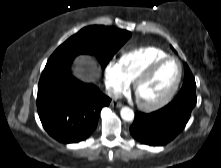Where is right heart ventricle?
Masks as SVG:
<instances>
[{
	"mask_svg": "<svg viewBox=\"0 0 221 168\" xmlns=\"http://www.w3.org/2000/svg\"><path fill=\"white\" fill-rule=\"evenodd\" d=\"M166 56L168 54L157 47H141L123 53L118 65L127 81L133 82L151 63Z\"/></svg>",
	"mask_w": 221,
	"mask_h": 168,
	"instance_id": "e07e8e85",
	"label": "right heart ventricle"
}]
</instances>
